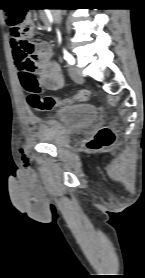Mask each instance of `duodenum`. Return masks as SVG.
Segmentation results:
<instances>
[{
	"instance_id": "1",
	"label": "duodenum",
	"mask_w": 145,
	"mask_h": 278,
	"mask_svg": "<svg viewBox=\"0 0 145 278\" xmlns=\"http://www.w3.org/2000/svg\"><path fill=\"white\" fill-rule=\"evenodd\" d=\"M59 15H60V12L58 9H55V11L53 12V15H52V19L53 20H57L59 18ZM47 19V18H46Z\"/></svg>"
}]
</instances>
